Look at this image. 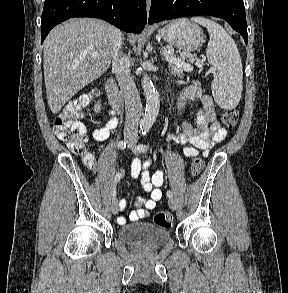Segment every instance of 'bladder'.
<instances>
[{
  "label": "bladder",
  "mask_w": 288,
  "mask_h": 293,
  "mask_svg": "<svg viewBox=\"0 0 288 293\" xmlns=\"http://www.w3.org/2000/svg\"><path fill=\"white\" fill-rule=\"evenodd\" d=\"M118 236L127 244L144 249H154L164 245L169 240L170 233L164 227L139 222L122 226L118 231Z\"/></svg>",
  "instance_id": "obj_1"
}]
</instances>
